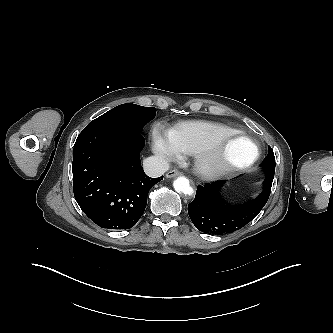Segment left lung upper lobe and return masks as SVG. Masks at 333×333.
I'll return each mask as SVG.
<instances>
[{
    "instance_id": "left-lung-upper-lobe-1",
    "label": "left lung upper lobe",
    "mask_w": 333,
    "mask_h": 333,
    "mask_svg": "<svg viewBox=\"0 0 333 333\" xmlns=\"http://www.w3.org/2000/svg\"><path fill=\"white\" fill-rule=\"evenodd\" d=\"M262 166L269 170L270 168H275V156L273 150L270 146H268V155L266 156L265 160L262 163Z\"/></svg>"
}]
</instances>
